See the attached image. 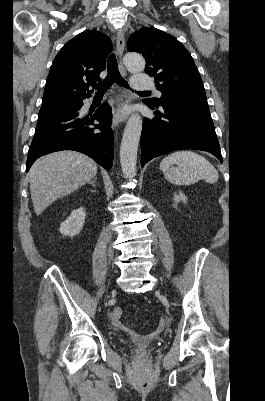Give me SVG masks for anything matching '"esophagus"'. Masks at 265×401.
<instances>
[{"instance_id":"1","label":"esophagus","mask_w":265,"mask_h":401,"mask_svg":"<svg viewBox=\"0 0 265 401\" xmlns=\"http://www.w3.org/2000/svg\"><path fill=\"white\" fill-rule=\"evenodd\" d=\"M124 47H125L124 34L121 30H119L117 33L116 51L119 57V69L122 75H126V70L122 63ZM125 119H126L125 113L120 108H117L113 114V126H117L118 124L122 123Z\"/></svg>"}]
</instances>
